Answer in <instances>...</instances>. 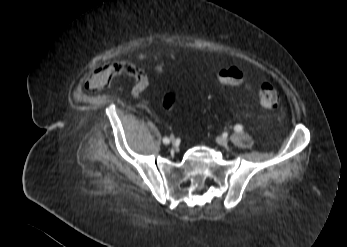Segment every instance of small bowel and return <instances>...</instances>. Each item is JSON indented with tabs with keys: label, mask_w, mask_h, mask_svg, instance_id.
Returning <instances> with one entry per match:
<instances>
[{
	"label": "small bowel",
	"mask_w": 347,
	"mask_h": 247,
	"mask_svg": "<svg viewBox=\"0 0 347 247\" xmlns=\"http://www.w3.org/2000/svg\"><path fill=\"white\" fill-rule=\"evenodd\" d=\"M119 73H125L133 79L131 92L134 96H140L148 86L149 80L144 70L133 62L111 63L101 67L91 74L85 86L90 90H99ZM156 73L161 75V64L156 66Z\"/></svg>",
	"instance_id": "small-bowel-1"
}]
</instances>
